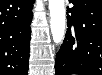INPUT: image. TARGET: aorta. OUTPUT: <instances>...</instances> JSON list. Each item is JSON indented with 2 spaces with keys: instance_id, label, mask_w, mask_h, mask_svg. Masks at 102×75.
<instances>
[{
  "instance_id": "aorta-1",
  "label": "aorta",
  "mask_w": 102,
  "mask_h": 75,
  "mask_svg": "<svg viewBox=\"0 0 102 75\" xmlns=\"http://www.w3.org/2000/svg\"><path fill=\"white\" fill-rule=\"evenodd\" d=\"M50 28L53 41L59 44L65 35V6L64 0H49Z\"/></svg>"
}]
</instances>
